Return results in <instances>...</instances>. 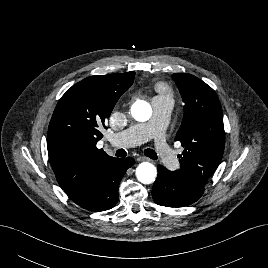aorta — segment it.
Masks as SVG:
<instances>
[{
  "label": "aorta",
  "instance_id": "obj_1",
  "mask_svg": "<svg viewBox=\"0 0 268 268\" xmlns=\"http://www.w3.org/2000/svg\"><path fill=\"white\" fill-rule=\"evenodd\" d=\"M132 117L139 122H145L152 115L151 105L142 99H137L131 107ZM157 176L156 167L149 162H142L136 168V177L143 184H150L155 181Z\"/></svg>",
  "mask_w": 268,
  "mask_h": 268
}]
</instances>
